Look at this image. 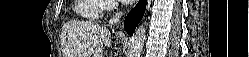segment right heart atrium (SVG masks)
Wrapping results in <instances>:
<instances>
[{"label": "right heart atrium", "instance_id": "obj_1", "mask_svg": "<svg viewBox=\"0 0 249 57\" xmlns=\"http://www.w3.org/2000/svg\"><path fill=\"white\" fill-rule=\"evenodd\" d=\"M101 3V11L105 13L112 12L117 8V2L115 0H99Z\"/></svg>", "mask_w": 249, "mask_h": 57}]
</instances>
